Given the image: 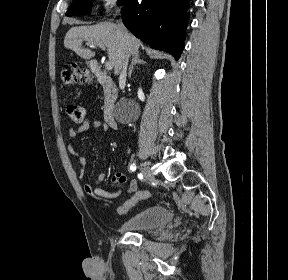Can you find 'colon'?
Here are the masks:
<instances>
[{
    "instance_id": "colon-1",
    "label": "colon",
    "mask_w": 288,
    "mask_h": 280,
    "mask_svg": "<svg viewBox=\"0 0 288 280\" xmlns=\"http://www.w3.org/2000/svg\"><path fill=\"white\" fill-rule=\"evenodd\" d=\"M64 81L68 84L73 83H87L90 81L89 73L79 67H74L72 71H65L63 74ZM67 113L72 121L75 123H82L85 119V108L81 105L71 104L67 106ZM149 197L147 191H140L134 197L124 202L117 208V213L122 215L128 209L132 208L139 201L145 200Z\"/></svg>"
}]
</instances>
